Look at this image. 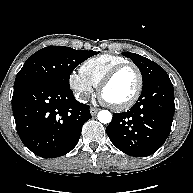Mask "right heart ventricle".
Listing matches in <instances>:
<instances>
[{
  "mask_svg": "<svg viewBox=\"0 0 193 193\" xmlns=\"http://www.w3.org/2000/svg\"><path fill=\"white\" fill-rule=\"evenodd\" d=\"M125 62L129 61L122 56L104 53L85 60L80 67V72L93 86H98L111 69Z\"/></svg>",
  "mask_w": 193,
  "mask_h": 193,
  "instance_id": "obj_1",
  "label": "right heart ventricle"
}]
</instances>
